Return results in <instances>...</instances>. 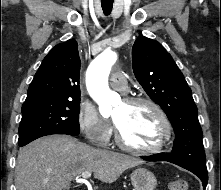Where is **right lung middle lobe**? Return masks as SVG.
<instances>
[{
	"label": "right lung middle lobe",
	"instance_id": "1",
	"mask_svg": "<svg viewBox=\"0 0 221 190\" xmlns=\"http://www.w3.org/2000/svg\"><path fill=\"white\" fill-rule=\"evenodd\" d=\"M79 111L80 99L23 105L19 146L51 134L79 135Z\"/></svg>",
	"mask_w": 221,
	"mask_h": 190
}]
</instances>
